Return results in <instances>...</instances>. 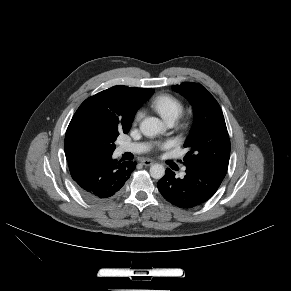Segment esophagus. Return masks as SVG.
Wrapping results in <instances>:
<instances>
[{
    "label": "esophagus",
    "mask_w": 291,
    "mask_h": 291,
    "mask_svg": "<svg viewBox=\"0 0 291 291\" xmlns=\"http://www.w3.org/2000/svg\"><path fill=\"white\" fill-rule=\"evenodd\" d=\"M141 163L145 166H151L154 162L150 159H143L141 160Z\"/></svg>",
    "instance_id": "34e87169"
}]
</instances>
